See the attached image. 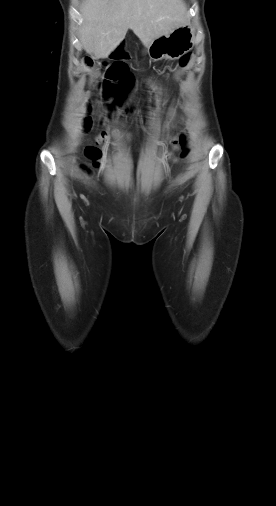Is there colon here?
Returning a JSON list of instances; mask_svg holds the SVG:
<instances>
[{
	"label": "colon",
	"instance_id": "colon-1",
	"mask_svg": "<svg viewBox=\"0 0 276 506\" xmlns=\"http://www.w3.org/2000/svg\"><path fill=\"white\" fill-rule=\"evenodd\" d=\"M113 51H114L113 49H107L105 51L104 55H105V58L107 60H111V62L114 65L123 64L125 62V60H130L133 57V54H132V56H130V57L117 58V57L113 56V54H112ZM79 55L82 58L84 57L83 60L87 64L91 63L93 60L91 56H89V55L85 56L86 54L83 51L80 52ZM188 59H189L188 55L183 56L180 61L181 65L185 66L188 62ZM139 77H140V72L138 70H133V71L129 72L128 70H122L121 68L117 67V68L113 69L108 74V78H111L113 80H120L119 84H117V85H112L109 83L103 84V86H102L103 93L105 96L113 95L116 104L118 106H122L123 102H124V98L129 90V88L132 85L133 79H138ZM107 139H108V136L105 133H102L97 137L96 142H97V144H101V143L106 142ZM173 143L176 148L182 149L181 157L184 158L187 155V150L184 148L183 140L175 138L173 140ZM87 154L93 158H96L99 156L100 153H99L98 148L94 146V147H90L87 150Z\"/></svg>",
	"mask_w": 276,
	"mask_h": 506
}]
</instances>
